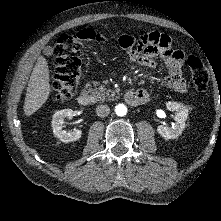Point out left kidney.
Here are the masks:
<instances>
[{"label": "left kidney", "mask_w": 221, "mask_h": 221, "mask_svg": "<svg viewBox=\"0 0 221 221\" xmlns=\"http://www.w3.org/2000/svg\"><path fill=\"white\" fill-rule=\"evenodd\" d=\"M166 107L170 111H176L174 118L175 124L172 127L159 125L157 127L158 133L165 139H175L180 136L185 128V122L188 118L189 109L187 106L177 102H167Z\"/></svg>", "instance_id": "5707ae66"}]
</instances>
